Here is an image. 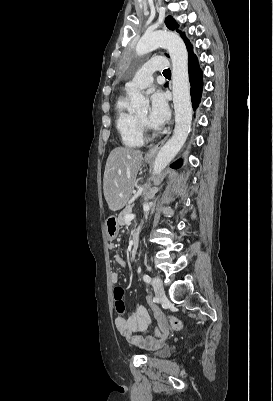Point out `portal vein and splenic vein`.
<instances>
[{"instance_id":"18ae733b","label":"portal vein and splenic vein","mask_w":273,"mask_h":401,"mask_svg":"<svg viewBox=\"0 0 273 401\" xmlns=\"http://www.w3.org/2000/svg\"><path fill=\"white\" fill-rule=\"evenodd\" d=\"M136 212H139V209H136ZM136 215H125V221H133Z\"/></svg>"}]
</instances>
